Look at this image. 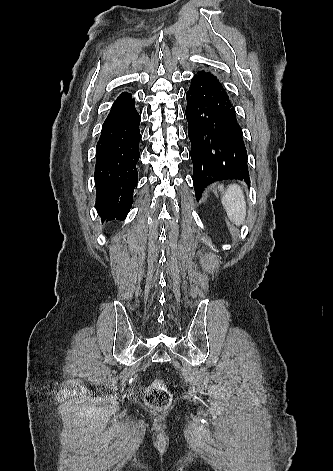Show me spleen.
I'll list each match as a JSON object with an SVG mask.
<instances>
[{"label": "spleen", "instance_id": "spleen-1", "mask_svg": "<svg viewBox=\"0 0 333 471\" xmlns=\"http://www.w3.org/2000/svg\"><path fill=\"white\" fill-rule=\"evenodd\" d=\"M219 188L221 190L223 186L220 185ZM221 202L230 221L240 226L246 217V202L240 186L237 184L229 185L223 193Z\"/></svg>", "mask_w": 333, "mask_h": 471}]
</instances>
